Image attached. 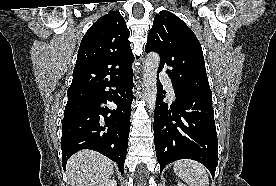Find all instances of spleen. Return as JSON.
<instances>
[{
  "mask_svg": "<svg viewBox=\"0 0 276 186\" xmlns=\"http://www.w3.org/2000/svg\"><path fill=\"white\" fill-rule=\"evenodd\" d=\"M174 172L189 186H209L205 167L193 160H179L174 163Z\"/></svg>",
  "mask_w": 276,
  "mask_h": 186,
  "instance_id": "obj_1",
  "label": "spleen"
}]
</instances>
